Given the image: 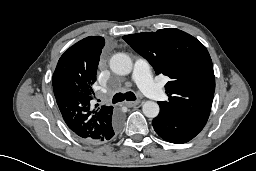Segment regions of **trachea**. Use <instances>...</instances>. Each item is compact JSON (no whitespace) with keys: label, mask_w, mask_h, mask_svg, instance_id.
<instances>
[{"label":"trachea","mask_w":256,"mask_h":171,"mask_svg":"<svg viewBox=\"0 0 256 171\" xmlns=\"http://www.w3.org/2000/svg\"><path fill=\"white\" fill-rule=\"evenodd\" d=\"M124 100L134 101L136 100V96L133 92L116 93L112 99V103L115 104L117 102H122Z\"/></svg>","instance_id":"3493384b"}]
</instances>
